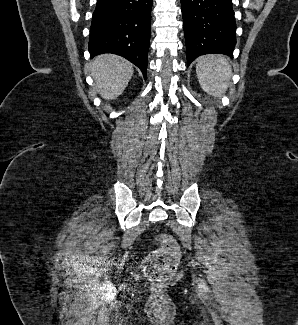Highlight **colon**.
<instances>
[{"label": "colon", "mask_w": 298, "mask_h": 325, "mask_svg": "<svg viewBox=\"0 0 298 325\" xmlns=\"http://www.w3.org/2000/svg\"><path fill=\"white\" fill-rule=\"evenodd\" d=\"M180 250L176 241L169 235L160 237V246L150 253L143 262L145 278L153 282H166L176 272Z\"/></svg>", "instance_id": "1"}]
</instances>
